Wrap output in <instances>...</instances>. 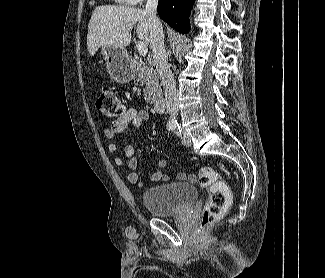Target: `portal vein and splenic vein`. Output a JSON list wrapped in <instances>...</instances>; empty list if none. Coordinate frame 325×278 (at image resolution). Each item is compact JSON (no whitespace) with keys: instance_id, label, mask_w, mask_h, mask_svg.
Returning <instances> with one entry per match:
<instances>
[{"instance_id":"18ae733b","label":"portal vein and splenic vein","mask_w":325,"mask_h":278,"mask_svg":"<svg viewBox=\"0 0 325 278\" xmlns=\"http://www.w3.org/2000/svg\"><path fill=\"white\" fill-rule=\"evenodd\" d=\"M136 48L140 55L146 56L148 49H147V45L144 42L138 41L136 43Z\"/></svg>"}]
</instances>
